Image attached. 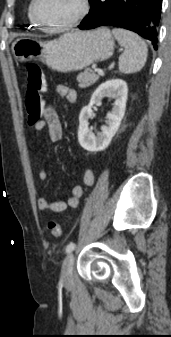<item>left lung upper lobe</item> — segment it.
Returning a JSON list of instances; mask_svg holds the SVG:
<instances>
[{
	"mask_svg": "<svg viewBox=\"0 0 171 337\" xmlns=\"http://www.w3.org/2000/svg\"><path fill=\"white\" fill-rule=\"evenodd\" d=\"M93 0H89V2L91 3Z\"/></svg>",
	"mask_w": 171,
	"mask_h": 337,
	"instance_id": "1",
	"label": "left lung upper lobe"
}]
</instances>
